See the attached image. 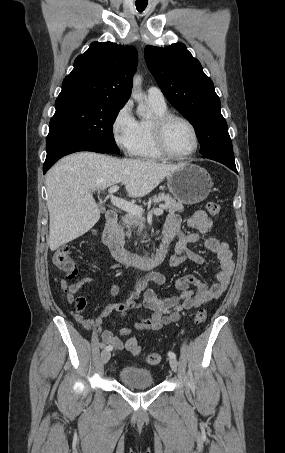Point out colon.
I'll use <instances>...</instances> for the list:
<instances>
[{
    "label": "colon",
    "mask_w": 285,
    "mask_h": 453,
    "mask_svg": "<svg viewBox=\"0 0 285 453\" xmlns=\"http://www.w3.org/2000/svg\"><path fill=\"white\" fill-rule=\"evenodd\" d=\"M206 209L212 216H218L221 212L220 204L214 201H208L206 203ZM52 263L57 269L66 272L69 277H73L77 273L75 259L72 255L71 249L68 246H62L55 251L52 257ZM206 319V309H198L194 316L195 323H204ZM125 347L134 355H139L141 352V348L135 337H129L125 342ZM145 360L149 365H157L161 361V355L159 353L152 352L146 356Z\"/></svg>",
    "instance_id": "5ec220e1"
}]
</instances>
